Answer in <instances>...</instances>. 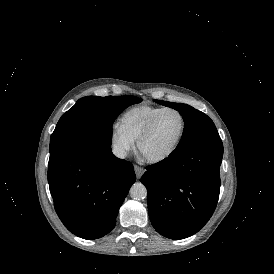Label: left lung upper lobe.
Instances as JSON below:
<instances>
[{
  "instance_id": "5c2ea615",
  "label": "left lung upper lobe",
  "mask_w": 274,
  "mask_h": 274,
  "mask_svg": "<svg viewBox=\"0 0 274 274\" xmlns=\"http://www.w3.org/2000/svg\"><path fill=\"white\" fill-rule=\"evenodd\" d=\"M154 101L178 110L183 117L185 123L184 132L180 143L172 153H180L188 148L206 142L221 141L213 121L203 112L187 104L161 100Z\"/></svg>"
}]
</instances>
